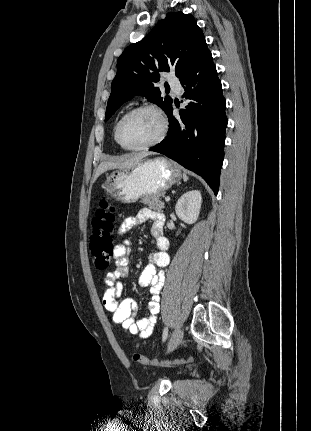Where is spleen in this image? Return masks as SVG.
Returning <instances> with one entry per match:
<instances>
[{"instance_id":"3e777b00","label":"spleen","mask_w":311,"mask_h":431,"mask_svg":"<svg viewBox=\"0 0 311 431\" xmlns=\"http://www.w3.org/2000/svg\"><path fill=\"white\" fill-rule=\"evenodd\" d=\"M183 180L184 182H187V180H189L188 176H186V174H183Z\"/></svg>"}]
</instances>
